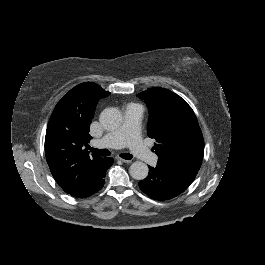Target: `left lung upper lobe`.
<instances>
[{
  "instance_id": "5c2ea615",
  "label": "left lung upper lobe",
  "mask_w": 265,
  "mask_h": 265,
  "mask_svg": "<svg viewBox=\"0 0 265 265\" xmlns=\"http://www.w3.org/2000/svg\"><path fill=\"white\" fill-rule=\"evenodd\" d=\"M150 116L148 136L158 165L197 171L204 154V139L192 108L177 94L164 88H150L138 94Z\"/></svg>"
}]
</instances>
